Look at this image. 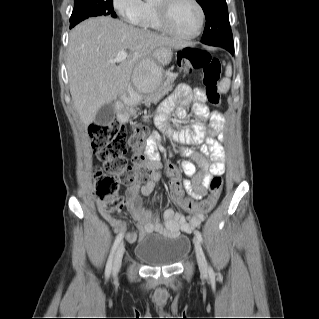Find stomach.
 <instances>
[{"label":"stomach","mask_w":319,"mask_h":319,"mask_svg":"<svg viewBox=\"0 0 319 319\" xmlns=\"http://www.w3.org/2000/svg\"><path fill=\"white\" fill-rule=\"evenodd\" d=\"M172 50L170 47L157 48L151 56L142 60L133 71V83L142 95L154 92L161 84L163 67L170 63Z\"/></svg>","instance_id":"1"}]
</instances>
